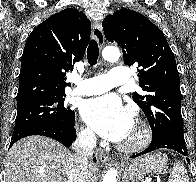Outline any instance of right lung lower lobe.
I'll return each mask as SVG.
<instances>
[{
  "label": "right lung lower lobe",
  "mask_w": 196,
  "mask_h": 182,
  "mask_svg": "<svg viewBox=\"0 0 196 182\" xmlns=\"http://www.w3.org/2000/svg\"><path fill=\"white\" fill-rule=\"evenodd\" d=\"M30 135H43L53 138L69 147L76 139L75 127L66 126L55 122H34L14 129L10 147L19 139ZM96 161V158H94Z\"/></svg>",
  "instance_id": "right-lung-lower-lobe-1"
}]
</instances>
